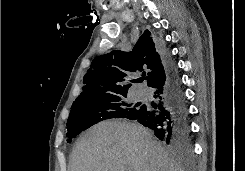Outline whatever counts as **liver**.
<instances>
[{"mask_svg": "<svg viewBox=\"0 0 245 171\" xmlns=\"http://www.w3.org/2000/svg\"><path fill=\"white\" fill-rule=\"evenodd\" d=\"M70 171H183L144 127L103 121L76 144Z\"/></svg>", "mask_w": 245, "mask_h": 171, "instance_id": "1", "label": "liver"}]
</instances>
